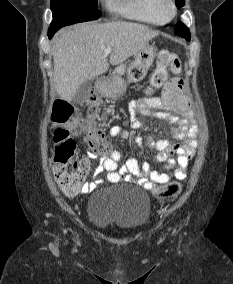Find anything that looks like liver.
Returning <instances> with one entry per match:
<instances>
[{"label":"liver","mask_w":233,"mask_h":284,"mask_svg":"<svg viewBox=\"0 0 233 284\" xmlns=\"http://www.w3.org/2000/svg\"><path fill=\"white\" fill-rule=\"evenodd\" d=\"M158 36L157 31L132 22L82 23L62 30L53 39L54 84L59 96L70 102L81 84L119 65Z\"/></svg>","instance_id":"obj_1"}]
</instances>
